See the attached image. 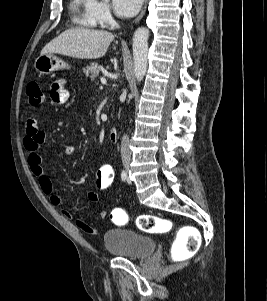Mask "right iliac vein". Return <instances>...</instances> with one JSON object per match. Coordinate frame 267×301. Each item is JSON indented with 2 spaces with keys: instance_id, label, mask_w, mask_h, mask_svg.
Returning a JSON list of instances; mask_svg holds the SVG:
<instances>
[{
  "instance_id": "right-iliac-vein-1",
  "label": "right iliac vein",
  "mask_w": 267,
  "mask_h": 301,
  "mask_svg": "<svg viewBox=\"0 0 267 301\" xmlns=\"http://www.w3.org/2000/svg\"><path fill=\"white\" fill-rule=\"evenodd\" d=\"M128 169H129V166L127 165V166H126V170H128Z\"/></svg>"
}]
</instances>
